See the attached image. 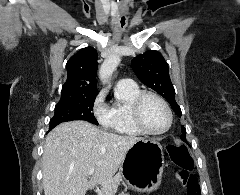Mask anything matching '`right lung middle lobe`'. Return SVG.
I'll return each mask as SVG.
<instances>
[{
  "instance_id": "obj_1",
  "label": "right lung middle lobe",
  "mask_w": 240,
  "mask_h": 195,
  "mask_svg": "<svg viewBox=\"0 0 240 195\" xmlns=\"http://www.w3.org/2000/svg\"><path fill=\"white\" fill-rule=\"evenodd\" d=\"M95 98L96 96L61 98L50 121L49 131L62 122L73 120H84L98 125L92 113Z\"/></svg>"
}]
</instances>
